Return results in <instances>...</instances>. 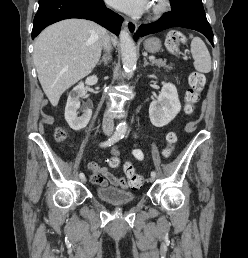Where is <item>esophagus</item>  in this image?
<instances>
[{
    "mask_svg": "<svg viewBox=\"0 0 248 258\" xmlns=\"http://www.w3.org/2000/svg\"><path fill=\"white\" fill-rule=\"evenodd\" d=\"M124 27L130 34H134L137 30V24L127 19L124 21Z\"/></svg>",
    "mask_w": 248,
    "mask_h": 258,
    "instance_id": "34e87169",
    "label": "esophagus"
}]
</instances>
